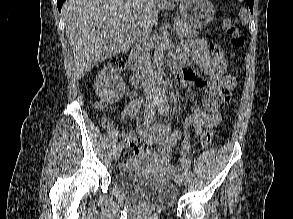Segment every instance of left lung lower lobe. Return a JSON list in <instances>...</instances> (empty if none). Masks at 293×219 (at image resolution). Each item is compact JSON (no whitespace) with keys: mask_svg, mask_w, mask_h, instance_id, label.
<instances>
[{"mask_svg":"<svg viewBox=\"0 0 293 219\" xmlns=\"http://www.w3.org/2000/svg\"><path fill=\"white\" fill-rule=\"evenodd\" d=\"M245 2L249 5L251 13L253 12V2L254 0H245Z\"/></svg>","mask_w":293,"mask_h":219,"instance_id":"obj_1","label":"left lung lower lobe"}]
</instances>
